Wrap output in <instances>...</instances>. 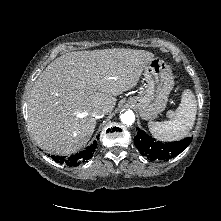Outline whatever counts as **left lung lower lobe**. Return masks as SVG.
I'll return each mask as SVG.
<instances>
[{
	"label": "left lung lower lobe",
	"mask_w": 221,
	"mask_h": 221,
	"mask_svg": "<svg viewBox=\"0 0 221 221\" xmlns=\"http://www.w3.org/2000/svg\"><path fill=\"white\" fill-rule=\"evenodd\" d=\"M192 137L181 141L162 143L139 130L134 138V144L140 153L150 160H168L180 154L191 143Z\"/></svg>",
	"instance_id": "0a47b994"
}]
</instances>
